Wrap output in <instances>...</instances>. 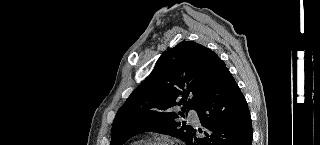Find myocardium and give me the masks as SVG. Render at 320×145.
Returning <instances> with one entry per match:
<instances>
[{
    "mask_svg": "<svg viewBox=\"0 0 320 145\" xmlns=\"http://www.w3.org/2000/svg\"><path fill=\"white\" fill-rule=\"evenodd\" d=\"M140 145H171V144L163 140H151V141H145Z\"/></svg>",
    "mask_w": 320,
    "mask_h": 145,
    "instance_id": "1",
    "label": "myocardium"
}]
</instances>
